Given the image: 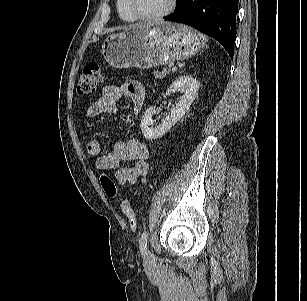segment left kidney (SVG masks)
<instances>
[{"label": "left kidney", "mask_w": 307, "mask_h": 301, "mask_svg": "<svg viewBox=\"0 0 307 301\" xmlns=\"http://www.w3.org/2000/svg\"><path fill=\"white\" fill-rule=\"evenodd\" d=\"M179 90L183 94L179 102L157 127L152 126L151 119L155 112V107H149L143 114L140 126L147 140H154L162 137L183 117L190 109L191 104L198 94L199 82L190 75L180 76L167 89L166 95H170Z\"/></svg>", "instance_id": "left-kidney-1"}]
</instances>
